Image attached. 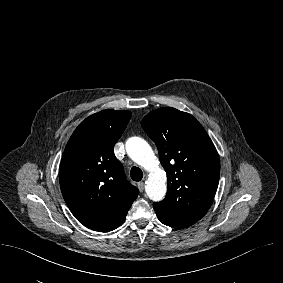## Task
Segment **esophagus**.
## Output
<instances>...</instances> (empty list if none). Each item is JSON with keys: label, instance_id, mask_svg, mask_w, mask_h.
Here are the masks:
<instances>
[{"label": "esophagus", "instance_id": "esophagus-1", "mask_svg": "<svg viewBox=\"0 0 283 283\" xmlns=\"http://www.w3.org/2000/svg\"><path fill=\"white\" fill-rule=\"evenodd\" d=\"M137 186H138V189H139L140 192L144 191V187H145L144 182H139Z\"/></svg>", "mask_w": 283, "mask_h": 283}]
</instances>
